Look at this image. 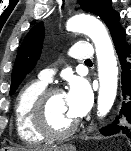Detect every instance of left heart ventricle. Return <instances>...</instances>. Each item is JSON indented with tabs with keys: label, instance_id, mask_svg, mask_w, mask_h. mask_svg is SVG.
<instances>
[{
	"label": "left heart ventricle",
	"instance_id": "1",
	"mask_svg": "<svg viewBox=\"0 0 131 151\" xmlns=\"http://www.w3.org/2000/svg\"><path fill=\"white\" fill-rule=\"evenodd\" d=\"M48 123L55 131H62L70 127L76 119L69 112L64 93L53 96L48 104Z\"/></svg>",
	"mask_w": 131,
	"mask_h": 151
}]
</instances>
